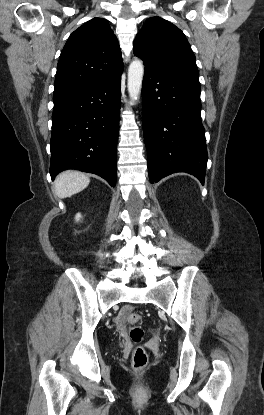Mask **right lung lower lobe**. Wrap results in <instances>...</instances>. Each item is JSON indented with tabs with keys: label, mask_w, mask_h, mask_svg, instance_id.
Wrapping results in <instances>:
<instances>
[{
	"label": "right lung lower lobe",
	"mask_w": 264,
	"mask_h": 415,
	"mask_svg": "<svg viewBox=\"0 0 264 415\" xmlns=\"http://www.w3.org/2000/svg\"><path fill=\"white\" fill-rule=\"evenodd\" d=\"M121 74L54 94L50 175L66 169L94 173L111 186L117 179Z\"/></svg>",
	"instance_id": "98d812e1"
}]
</instances>
